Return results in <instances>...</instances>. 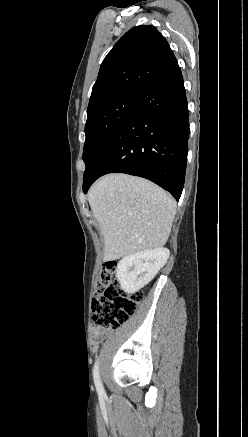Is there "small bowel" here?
<instances>
[{"mask_svg": "<svg viewBox=\"0 0 248 437\" xmlns=\"http://www.w3.org/2000/svg\"><path fill=\"white\" fill-rule=\"evenodd\" d=\"M109 333V331L107 329H101L98 327H92L91 329V335H92V340L95 344L101 342L106 335Z\"/></svg>", "mask_w": 248, "mask_h": 437, "instance_id": "obj_1", "label": "small bowel"}]
</instances>
